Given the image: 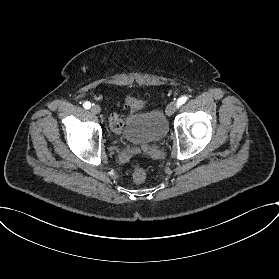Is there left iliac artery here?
<instances>
[{
    "label": "left iliac artery",
    "instance_id": "44dca946",
    "mask_svg": "<svg viewBox=\"0 0 279 279\" xmlns=\"http://www.w3.org/2000/svg\"><path fill=\"white\" fill-rule=\"evenodd\" d=\"M187 99H188L187 96L180 97L177 101V107H180L181 105H183L186 102Z\"/></svg>",
    "mask_w": 279,
    "mask_h": 279
}]
</instances>
